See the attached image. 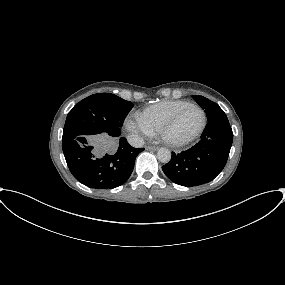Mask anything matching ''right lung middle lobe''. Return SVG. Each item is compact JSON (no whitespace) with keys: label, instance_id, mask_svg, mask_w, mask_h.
Wrapping results in <instances>:
<instances>
[{"label":"right lung middle lobe","instance_id":"1","mask_svg":"<svg viewBox=\"0 0 285 285\" xmlns=\"http://www.w3.org/2000/svg\"><path fill=\"white\" fill-rule=\"evenodd\" d=\"M133 103L114 94L98 93L77 103L68 113L63 141L79 136L89 138L118 137Z\"/></svg>","mask_w":285,"mask_h":285}]
</instances>
